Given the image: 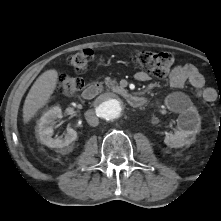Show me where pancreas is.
<instances>
[{
    "mask_svg": "<svg viewBox=\"0 0 221 221\" xmlns=\"http://www.w3.org/2000/svg\"><path fill=\"white\" fill-rule=\"evenodd\" d=\"M106 84L110 87H113L116 85V82L115 81H111L110 79H106Z\"/></svg>",
    "mask_w": 221,
    "mask_h": 221,
    "instance_id": "1",
    "label": "pancreas"
}]
</instances>
